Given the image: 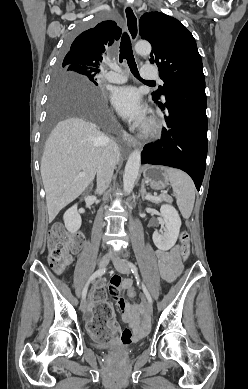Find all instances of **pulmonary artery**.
<instances>
[{
    "mask_svg": "<svg viewBox=\"0 0 248 389\" xmlns=\"http://www.w3.org/2000/svg\"><path fill=\"white\" fill-rule=\"evenodd\" d=\"M111 67L113 71L107 72L104 75V78L107 81L112 83H123L127 80V75L124 74L118 66L112 65ZM141 74L145 80H151V81L158 80L160 83L162 82L149 65L142 66Z\"/></svg>",
    "mask_w": 248,
    "mask_h": 389,
    "instance_id": "e3ab8cb5",
    "label": "pulmonary artery"
}]
</instances>
